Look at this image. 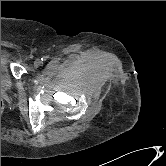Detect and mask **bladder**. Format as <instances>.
Returning a JSON list of instances; mask_svg holds the SVG:
<instances>
[{
	"mask_svg": "<svg viewBox=\"0 0 166 166\" xmlns=\"http://www.w3.org/2000/svg\"><path fill=\"white\" fill-rule=\"evenodd\" d=\"M9 67V52L5 48H1V91L10 90L13 86V79Z\"/></svg>",
	"mask_w": 166,
	"mask_h": 166,
	"instance_id": "1",
	"label": "bladder"
}]
</instances>
